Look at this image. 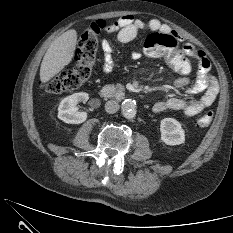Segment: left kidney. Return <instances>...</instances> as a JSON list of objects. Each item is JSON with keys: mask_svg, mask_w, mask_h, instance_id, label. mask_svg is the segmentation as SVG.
<instances>
[{"mask_svg": "<svg viewBox=\"0 0 233 233\" xmlns=\"http://www.w3.org/2000/svg\"><path fill=\"white\" fill-rule=\"evenodd\" d=\"M161 141L167 145H180L185 141V131L174 118H164L160 122Z\"/></svg>", "mask_w": 233, "mask_h": 233, "instance_id": "5707ae66", "label": "left kidney"}]
</instances>
